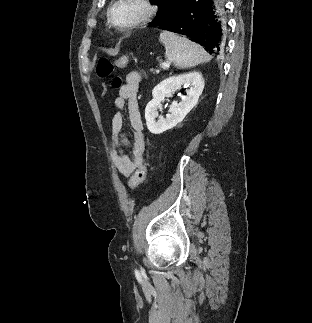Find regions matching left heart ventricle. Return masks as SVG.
Returning <instances> with one entry per match:
<instances>
[{
	"label": "left heart ventricle",
	"instance_id": "obj_1",
	"mask_svg": "<svg viewBox=\"0 0 312 323\" xmlns=\"http://www.w3.org/2000/svg\"><path fill=\"white\" fill-rule=\"evenodd\" d=\"M114 18H142L143 12L137 2H130L129 7H113Z\"/></svg>",
	"mask_w": 312,
	"mask_h": 323
}]
</instances>
